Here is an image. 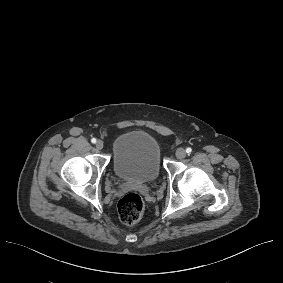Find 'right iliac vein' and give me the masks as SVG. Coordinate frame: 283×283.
I'll use <instances>...</instances> for the list:
<instances>
[{
	"mask_svg": "<svg viewBox=\"0 0 283 283\" xmlns=\"http://www.w3.org/2000/svg\"><path fill=\"white\" fill-rule=\"evenodd\" d=\"M103 147H104L103 142H102L101 140H98V141L96 142V148H97L98 150H101V149H103Z\"/></svg>",
	"mask_w": 283,
	"mask_h": 283,
	"instance_id": "1",
	"label": "right iliac vein"
}]
</instances>
